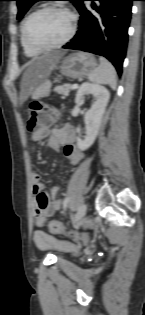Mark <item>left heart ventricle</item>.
<instances>
[{"mask_svg":"<svg viewBox=\"0 0 145 315\" xmlns=\"http://www.w3.org/2000/svg\"><path fill=\"white\" fill-rule=\"evenodd\" d=\"M69 30V19L56 11H46L33 18L28 35L31 41L49 45L64 38Z\"/></svg>","mask_w":145,"mask_h":315,"instance_id":"obj_1","label":"left heart ventricle"}]
</instances>
